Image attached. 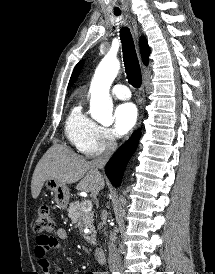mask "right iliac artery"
<instances>
[{
	"mask_svg": "<svg viewBox=\"0 0 215 274\" xmlns=\"http://www.w3.org/2000/svg\"><path fill=\"white\" fill-rule=\"evenodd\" d=\"M113 274H119V272H113Z\"/></svg>",
	"mask_w": 215,
	"mask_h": 274,
	"instance_id": "right-iliac-artery-1",
	"label": "right iliac artery"
}]
</instances>
